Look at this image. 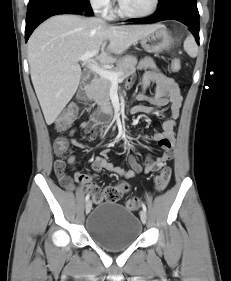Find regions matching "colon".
<instances>
[{"mask_svg": "<svg viewBox=\"0 0 231 281\" xmlns=\"http://www.w3.org/2000/svg\"><path fill=\"white\" fill-rule=\"evenodd\" d=\"M181 69V62L178 59H173L170 62L169 70L172 73H176ZM77 114V106L70 105L64 112L58 117L55 122L57 130H64L73 118ZM68 149V143L65 138L59 137L54 142V151L58 156H63ZM171 178V169L169 167H164L154 179V188L157 192H162L169 184ZM128 185L126 183H120L117 185H112L107 187L102 191L97 185L90 186L92 192V198L95 202H100L102 200L117 201L123 194L127 191ZM126 207L130 210H137L139 208V200L137 198L129 199L126 202Z\"/></svg>", "mask_w": 231, "mask_h": 281, "instance_id": "1", "label": "colon"}]
</instances>
